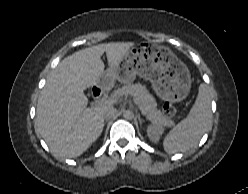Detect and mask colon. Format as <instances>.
Segmentation results:
<instances>
[{"instance_id":"1","label":"colon","mask_w":248,"mask_h":194,"mask_svg":"<svg viewBox=\"0 0 248 194\" xmlns=\"http://www.w3.org/2000/svg\"><path fill=\"white\" fill-rule=\"evenodd\" d=\"M163 112L167 116H173L175 114V106L172 100H166L163 104Z\"/></svg>"}]
</instances>
